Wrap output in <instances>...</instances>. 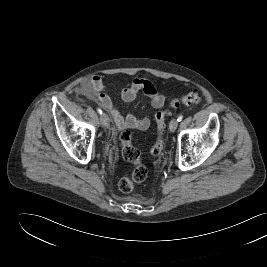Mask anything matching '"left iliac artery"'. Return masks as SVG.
I'll return each instance as SVG.
<instances>
[{"instance_id":"obj_1","label":"left iliac artery","mask_w":267,"mask_h":267,"mask_svg":"<svg viewBox=\"0 0 267 267\" xmlns=\"http://www.w3.org/2000/svg\"><path fill=\"white\" fill-rule=\"evenodd\" d=\"M182 119H183V116L180 115L177 120H178V122H180Z\"/></svg>"}]
</instances>
